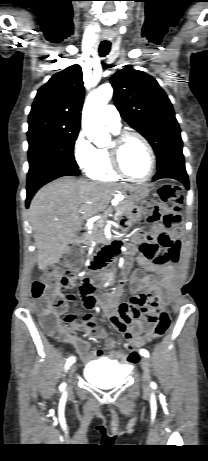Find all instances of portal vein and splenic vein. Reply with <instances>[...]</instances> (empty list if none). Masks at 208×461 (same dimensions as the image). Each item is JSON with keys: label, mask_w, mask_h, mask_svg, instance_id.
Instances as JSON below:
<instances>
[{"label": "portal vein and splenic vein", "mask_w": 208, "mask_h": 461, "mask_svg": "<svg viewBox=\"0 0 208 461\" xmlns=\"http://www.w3.org/2000/svg\"><path fill=\"white\" fill-rule=\"evenodd\" d=\"M119 215H121V211H117V212L115 213V217H117V216H119Z\"/></svg>", "instance_id": "1"}]
</instances>
